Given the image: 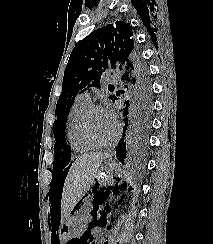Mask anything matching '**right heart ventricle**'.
Here are the masks:
<instances>
[{
  "mask_svg": "<svg viewBox=\"0 0 213 244\" xmlns=\"http://www.w3.org/2000/svg\"><path fill=\"white\" fill-rule=\"evenodd\" d=\"M90 104L91 101L78 96L67 116L66 139L70 148L77 153H86L95 147L84 139L80 129L83 113Z\"/></svg>",
  "mask_w": 213,
  "mask_h": 244,
  "instance_id": "right-heart-ventricle-1",
  "label": "right heart ventricle"
}]
</instances>
